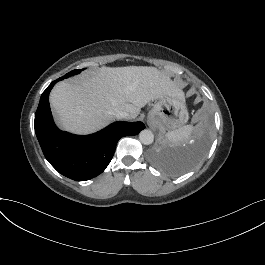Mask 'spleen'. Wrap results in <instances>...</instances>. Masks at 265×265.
Returning <instances> with one entry per match:
<instances>
[{
  "label": "spleen",
  "mask_w": 265,
  "mask_h": 265,
  "mask_svg": "<svg viewBox=\"0 0 265 265\" xmlns=\"http://www.w3.org/2000/svg\"><path fill=\"white\" fill-rule=\"evenodd\" d=\"M192 132L193 129L190 126L185 125L174 131L168 132L166 136L170 140L172 145H179L188 142L190 140Z\"/></svg>",
  "instance_id": "3e777b00"
}]
</instances>
